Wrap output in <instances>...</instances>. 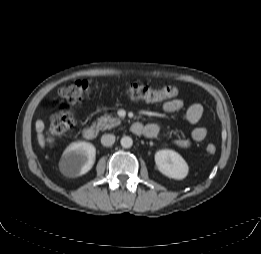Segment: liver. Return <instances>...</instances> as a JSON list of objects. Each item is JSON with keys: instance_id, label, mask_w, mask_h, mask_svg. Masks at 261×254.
I'll return each instance as SVG.
<instances>
[{"instance_id": "6515ba94", "label": "liver", "mask_w": 261, "mask_h": 254, "mask_svg": "<svg viewBox=\"0 0 261 254\" xmlns=\"http://www.w3.org/2000/svg\"><path fill=\"white\" fill-rule=\"evenodd\" d=\"M43 129H44V123L41 120H38L36 123V130L38 132L37 138H38V143L42 148H44L45 146V140L42 134Z\"/></svg>"}]
</instances>
